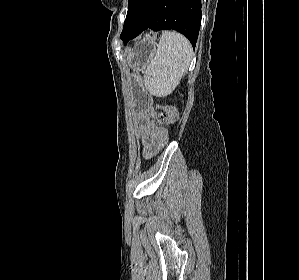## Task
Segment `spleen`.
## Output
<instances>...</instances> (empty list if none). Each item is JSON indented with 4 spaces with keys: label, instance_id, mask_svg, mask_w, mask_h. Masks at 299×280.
Listing matches in <instances>:
<instances>
[{
    "label": "spleen",
    "instance_id": "1",
    "mask_svg": "<svg viewBox=\"0 0 299 280\" xmlns=\"http://www.w3.org/2000/svg\"><path fill=\"white\" fill-rule=\"evenodd\" d=\"M192 55V46L183 35L163 32L144 75L146 90L156 97L171 94L185 74Z\"/></svg>",
    "mask_w": 299,
    "mask_h": 280
}]
</instances>
